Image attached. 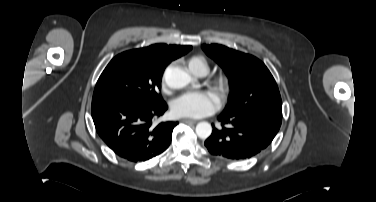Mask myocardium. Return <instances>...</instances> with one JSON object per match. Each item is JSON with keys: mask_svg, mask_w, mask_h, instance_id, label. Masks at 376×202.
Listing matches in <instances>:
<instances>
[{"mask_svg": "<svg viewBox=\"0 0 376 202\" xmlns=\"http://www.w3.org/2000/svg\"><path fill=\"white\" fill-rule=\"evenodd\" d=\"M211 85L220 99L225 101L230 91V78L226 74L218 75L212 80Z\"/></svg>", "mask_w": 376, "mask_h": 202, "instance_id": "myocardium-1", "label": "myocardium"}]
</instances>
